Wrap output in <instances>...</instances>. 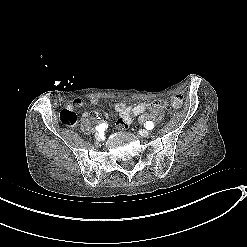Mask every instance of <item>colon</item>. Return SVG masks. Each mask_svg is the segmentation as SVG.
Wrapping results in <instances>:
<instances>
[{"instance_id":"colon-1","label":"colon","mask_w":247,"mask_h":247,"mask_svg":"<svg viewBox=\"0 0 247 247\" xmlns=\"http://www.w3.org/2000/svg\"><path fill=\"white\" fill-rule=\"evenodd\" d=\"M168 107L165 101H153L149 104V108L152 110H164ZM59 120L61 123L67 126H74L78 122L77 114L71 109H63L59 113Z\"/></svg>"}]
</instances>
